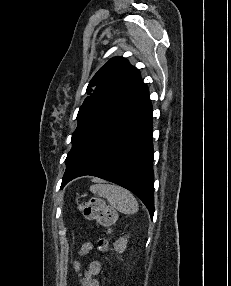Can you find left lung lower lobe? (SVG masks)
Returning a JSON list of instances; mask_svg holds the SVG:
<instances>
[{
  "label": "left lung lower lobe",
  "instance_id": "obj_1",
  "mask_svg": "<svg viewBox=\"0 0 231 286\" xmlns=\"http://www.w3.org/2000/svg\"><path fill=\"white\" fill-rule=\"evenodd\" d=\"M152 105L143 84L91 128L71 151L61 188L84 175L133 192L154 214Z\"/></svg>",
  "mask_w": 231,
  "mask_h": 286
}]
</instances>
